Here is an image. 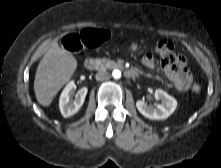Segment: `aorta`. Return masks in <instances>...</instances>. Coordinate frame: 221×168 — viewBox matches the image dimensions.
<instances>
[{
    "mask_svg": "<svg viewBox=\"0 0 221 168\" xmlns=\"http://www.w3.org/2000/svg\"><path fill=\"white\" fill-rule=\"evenodd\" d=\"M112 76L114 79H120L121 78V71L119 69L113 70Z\"/></svg>",
    "mask_w": 221,
    "mask_h": 168,
    "instance_id": "1",
    "label": "aorta"
}]
</instances>
